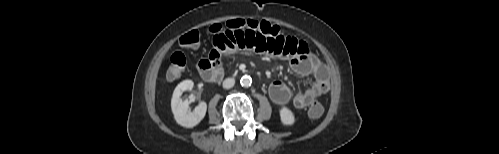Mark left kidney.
Masks as SVG:
<instances>
[{
    "label": "left kidney",
    "instance_id": "1",
    "mask_svg": "<svg viewBox=\"0 0 499 154\" xmlns=\"http://www.w3.org/2000/svg\"><path fill=\"white\" fill-rule=\"evenodd\" d=\"M280 120L284 125H293L295 123L294 114L287 107L280 109Z\"/></svg>",
    "mask_w": 499,
    "mask_h": 154
}]
</instances>
